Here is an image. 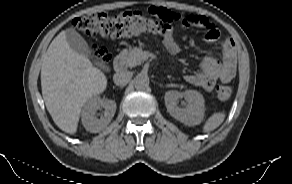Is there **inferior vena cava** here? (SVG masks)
<instances>
[{"mask_svg": "<svg viewBox=\"0 0 292 184\" xmlns=\"http://www.w3.org/2000/svg\"><path fill=\"white\" fill-rule=\"evenodd\" d=\"M132 73L127 70L119 71L114 74L113 81L117 86L123 87L131 80Z\"/></svg>", "mask_w": 292, "mask_h": 184, "instance_id": "inferior-vena-cava-1", "label": "inferior vena cava"}]
</instances>
